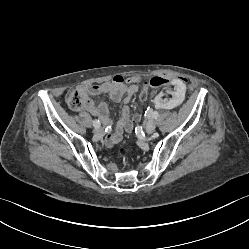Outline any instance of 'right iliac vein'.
Returning <instances> with one entry per match:
<instances>
[{
  "mask_svg": "<svg viewBox=\"0 0 249 249\" xmlns=\"http://www.w3.org/2000/svg\"><path fill=\"white\" fill-rule=\"evenodd\" d=\"M94 134H95L97 137H101V136H103L104 131H103L102 128L95 127V129H94Z\"/></svg>",
  "mask_w": 249,
  "mask_h": 249,
  "instance_id": "63e3f726",
  "label": "right iliac vein"
}]
</instances>
